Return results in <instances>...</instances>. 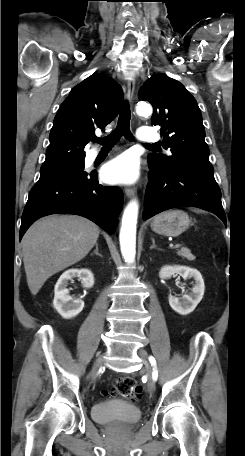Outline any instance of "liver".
<instances>
[{
    "label": "liver",
    "mask_w": 245,
    "mask_h": 456,
    "mask_svg": "<svg viewBox=\"0 0 245 456\" xmlns=\"http://www.w3.org/2000/svg\"><path fill=\"white\" fill-rule=\"evenodd\" d=\"M99 232L96 224L76 215H51L36 221L22 239L32 295L49 277L83 259L96 244Z\"/></svg>",
    "instance_id": "liver-1"
}]
</instances>
